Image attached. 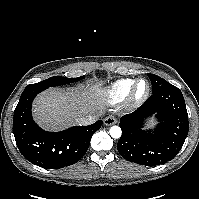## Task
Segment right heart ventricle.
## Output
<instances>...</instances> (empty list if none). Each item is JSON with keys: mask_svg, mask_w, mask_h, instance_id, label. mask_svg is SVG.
<instances>
[{"mask_svg": "<svg viewBox=\"0 0 199 199\" xmlns=\"http://www.w3.org/2000/svg\"><path fill=\"white\" fill-rule=\"evenodd\" d=\"M134 83L133 79H119L107 87L103 93V100L107 104H115L127 98Z\"/></svg>", "mask_w": 199, "mask_h": 199, "instance_id": "right-heart-ventricle-1", "label": "right heart ventricle"}]
</instances>
